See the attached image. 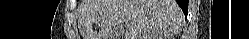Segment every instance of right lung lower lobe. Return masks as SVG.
<instances>
[{
  "label": "right lung lower lobe",
  "mask_w": 249,
  "mask_h": 39,
  "mask_svg": "<svg viewBox=\"0 0 249 39\" xmlns=\"http://www.w3.org/2000/svg\"><path fill=\"white\" fill-rule=\"evenodd\" d=\"M185 16L188 14V0H177Z\"/></svg>",
  "instance_id": "1"
}]
</instances>
